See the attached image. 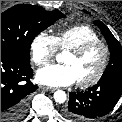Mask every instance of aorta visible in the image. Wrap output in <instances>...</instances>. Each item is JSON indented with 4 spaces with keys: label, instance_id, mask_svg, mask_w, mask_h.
Listing matches in <instances>:
<instances>
[{
    "label": "aorta",
    "instance_id": "1",
    "mask_svg": "<svg viewBox=\"0 0 122 122\" xmlns=\"http://www.w3.org/2000/svg\"><path fill=\"white\" fill-rule=\"evenodd\" d=\"M54 100L57 103H64L66 101V93L62 90H57L54 92Z\"/></svg>",
    "mask_w": 122,
    "mask_h": 122
}]
</instances>
